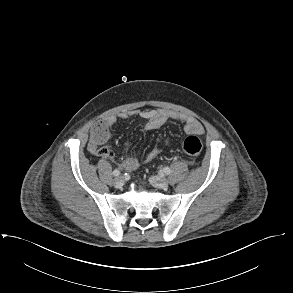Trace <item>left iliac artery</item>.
Here are the masks:
<instances>
[{"mask_svg":"<svg viewBox=\"0 0 293 293\" xmlns=\"http://www.w3.org/2000/svg\"><path fill=\"white\" fill-rule=\"evenodd\" d=\"M163 172H164L165 174L169 175V174L171 173V169H170L169 167H165V168L163 169Z\"/></svg>","mask_w":293,"mask_h":293,"instance_id":"obj_1","label":"left iliac artery"}]
</instances>
